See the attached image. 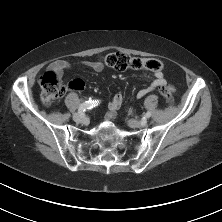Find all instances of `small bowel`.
<instances>
[{"label":"small bowel","instance_id":"small-bowel-1","mask_svg":"<svg viewBox=\"0 0 222 222\" xmlns=\"http://www.w3.org/2000/svg\"><path fill=\"white\" fill-rule=\"evenodd\" d=\"M75 65L76 64L66 60H56L49 65V70L54 71L60 75L64 71L74 68ZM79 65L90 68L96 72H101L104 69L103 64L99 61H82L79 63ZM140 76L145 77L146 80L152 83L146 88L139 90L136 94L137 98H142L162 86H166L169 88L171 92H175V88L167 84V81L162 72H156L155 74H153V73H147L146 70H141ZM122 102H123L122 93L120 92L116 93L108 104V110H109L107 113L108 120H113L116 118V112L121 107Z\"/></svg>","mask_w":222,"mask_h":222}]
</instances>
